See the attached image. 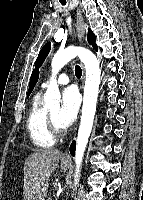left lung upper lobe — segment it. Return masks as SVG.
Returning a JSON list of instances; mask_svg holds the SVG:
<instances>
[{
    "instance_id": "obj_1",
    "label": "left lung upper lobe",
    "mask_w": 143,
    "mask_h": 200,
    "mask_svg": "<svg viewBox=\"0 0 143 200\" xmlns=\"http://www.w3.org/2000/svg\"><path fill=\"white\" fill-rule=\"evenodd\" d=\"M95 35L93 34V32L88 29V42L90 45H93V47L97 50V45L95 44ZM50 48H51V44L50 43H47L43 46V48L41 49L39 55H38V58L35 62L36 64V67H40L41 64L44 62L46 56L48 55L49 51H50Z\"/></svg>"
}]
</instances>
